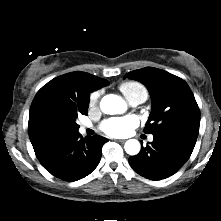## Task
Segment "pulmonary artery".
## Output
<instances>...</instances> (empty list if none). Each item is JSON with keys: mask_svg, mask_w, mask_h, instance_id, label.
I'll return each instance as SVG.
<instances>
[{"mask_svg": "<svg viewBox=\"0 0 221 221\" xmlns=\"http://www.w3.org/2000/svg\"><path fill=\"white\" fill-rule=\"evenodd\" d=\"M145 97L144 96H135L133 98H130L128 101L130 103V105L132 106H136L138 104H141L142 102L145 101ZM89 127L88 126H85V125H82L80 128H79V131L81 133H84ZM153 140V137H150V141Z\"/></svg>", "mask_w": 221, "mask_h": 221, "instance_id": "e3ab8cb5", "label": "pulmonary artery"}]
</instances>
